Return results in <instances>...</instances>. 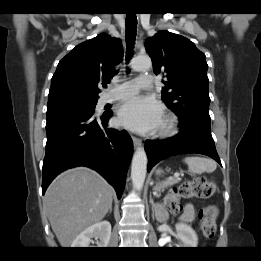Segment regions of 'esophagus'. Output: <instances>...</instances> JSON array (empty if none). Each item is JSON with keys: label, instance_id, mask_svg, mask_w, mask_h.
Segmentation results:
<instances>
[{"label": "esophagus", "instance_id": "1", "mask_svg": "<svg viewBox=\"0 0 261 261\" xmlns=\"http://www.w3.org/2000/svg\"><path fill=\"white\" fill-rule=\"evenodd\" d=\"M132 141L136 148L142 145V140L137 137H132Z\"/></svg>", "mask_w": 261, "mask_h": 261}]
</instances>
